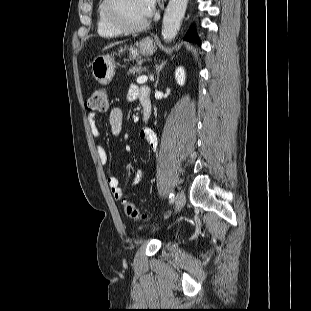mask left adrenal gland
<instances>
[{"label":"left adrenal gland","mask_w":311,"mask_h":311,"mask_svg":"<svg viewBox=\"0 0 311 311\" xmlns=\"http://www.w3.org/2000/svg\"><path fill=\"white\" fill-rule=\"evenodd\" d=\"M165 64H166V61L162 62L160 65H158V64L155 65L156 72H157V79H156V82H155V85H154L155 88L157 87V84L159 82V73L163 69Z\"/></svg>","instance_id":"a2214340"}]
</instances>
